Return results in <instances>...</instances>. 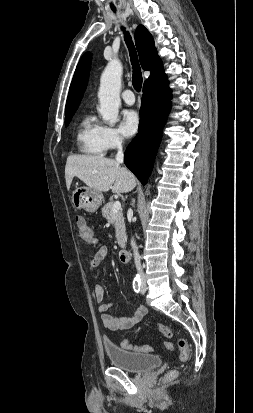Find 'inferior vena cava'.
Here are the masks:
<instances>
[{"label":"inferior vena cava","mask_w":253,"mask_h":413,"mask_svg":"<svg viewBox=\"0 0 253 413\" xmlns=\"http://www.w3.org/2000/svg\"><path fill=\"white\" fill-rule=\"evenodd\" d=\"M116 145H117V149H118V152H117V155H116V161L118 163H122L123 162L122 141L119 139L117 141ZM131 246L133 248V255H134V262H135L136 269L138 270L140 275L142 277H144V273H143L141 263H140V255L138 253V247L136 246L135 241L133 239L131 240Z\"/></svg>","instance_id":"obj_1"}]
</instances>
